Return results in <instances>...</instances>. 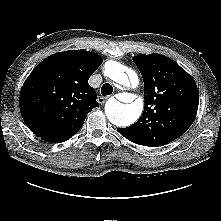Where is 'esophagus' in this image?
<instances>
[{"mask_svg":"<svg viewBox=\"0 0 221 221\" xmlns=\"http://www.w3.org/2000/svg\"><path fill=\"white\" fill-rule=\"evenodd\" d=\"M108 97L99 96L97 101L99 104H104Z\"/></svg>","mask_w":221,"mask_h":221,"instance_id":"esophagus-1","label":"esophagus"}]
</instances>
